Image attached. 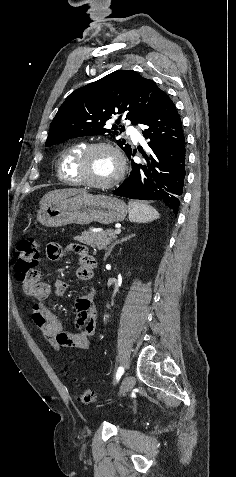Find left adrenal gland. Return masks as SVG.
<instances>
[{
    "mask_svg": "<svg viewBox=\"0 0 236 477\" xmlns=\"http://www.w3.org/2000/svg\"><path fill=\"white\" fill-rule=\"evenodd\" d=\"M134 236H135V234H131V235H129V236H127V237H125V238L119 240V241H116L114 244H112V246L108 249L107 253L105 254V258H104V259L106 260V258L110 255L111 251L113 250V248H114L117 244H121L122 242H126L127 240H130V239H131L132 237H134Z\"/></svg>",
    "mask_w": 236,
    "mask_h": 477,
    "instance_id": "left-adrenal-gland-1",
    "label": "left adrenal gland"
}]
</instances>
